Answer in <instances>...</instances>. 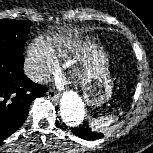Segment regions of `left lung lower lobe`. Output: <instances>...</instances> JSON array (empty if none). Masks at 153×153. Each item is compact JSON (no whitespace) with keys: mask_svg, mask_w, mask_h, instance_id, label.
I'll use <instances>...</instances> for the list:
<instances>
[{"mask_svg":"<svg viewBox=\"0 0 153 153\" xmlns=\"http://www.w3.org/2000/svg\"><path fill=\"white\" fill-rule=\"evenodd\" d=\"M71 131L84 140H96L103 137L102 133L92 131L87 122L78 128H71Z\"/></svg>","mask_w":153,"mask_h":153,"instance_id":"1","label":"left lung lower lobe"}]
</instances>
